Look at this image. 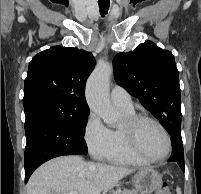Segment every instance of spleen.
I'll return each instance as SVG.
<instances>
[{"label": "spleen", "mask_w": 201, "mask_h": 194, "mask_svg": "<svg viewBox=\"0 0 201 194\" xmlns=\"http://www.w3.org/2000/svg\"><path fill=\"white\" fill-rule=\"evenodd\" d=\"M176 192H177V194H182L181 189L179 187L176 188Z\"/></svg>", "instance_id": "1"}]
</instances>
